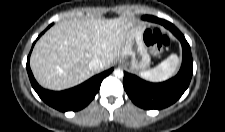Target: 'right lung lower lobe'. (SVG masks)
I'll return each mask as SVG.
<instances>
[{
	"instance_id": "1",
	"label": "right lung lower lobe",
	"mask_w": 225,
	"mask_h": 132,
	"mask_svg": "<svg viewBox=\"0 0 225 132\" xmlns=\"http://www.w3.org/2000/svg\"><path fill=\"white\" fill-rule=\"evenodd\" d=\"M29 57L30 55L27 59L26 68L32 87L45 103L62 112L78 111L86 107L99 91L102 80L113 70L109 69L101 74L95 75L74 88L55 92L43 89L38 85L30 69Z\"/></svg>"
}]
</instances>
